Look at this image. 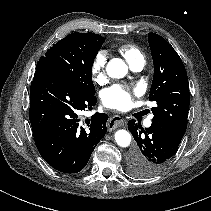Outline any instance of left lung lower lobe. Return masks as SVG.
<instances>
[{
	"label": "left lung lower lobe",
	"mask_w": 211,
	"mask_h": 211,
	"mask_svg": "<svg viewBox=\"0 0 211 211\" xmlns=\"http://www.w3.org/2000/svg\"><path fill=\"white\" fill-rule=\"evenodd\" d=\"M128 129L137 142L128 157L129 170L134 176L151 177L163 171L181 143L154 124L143 129L135 120H130Z\"/></svg>",
	"instance_id": "obj_1"
}]
</instances>
